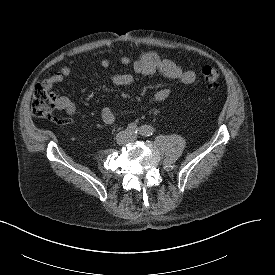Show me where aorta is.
Segmentation results:
<instances>
[{
	"mask_svg": "<svg viewBox=\"0 0 275 275\" xmlns=\"http://www.w3.org/2000/svg\"><path fill=\"white\" fill-rule=\"evenodd\" d=\"M151 132V128L147 127V129L145 130V134H149Z\"/></svg>",
	"mask_w": 275,
	"mask_h": 275,
	"instance_id": "obj_1",
	"label": "aorta"
}]
</instances>
